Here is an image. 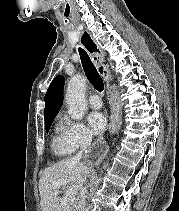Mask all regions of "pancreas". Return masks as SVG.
Returning <instances> with one entry per match:
<instances>
[{
	"instance_id": "pancreas-1",
	"label": "pancreas",
	"mask_w": 179,
	"mask_h": 211,
	"mask_svg": "<svg viewBox=\"0 0 179 211\" xmlns=\"http://www.w3.org/2000/svg\"><path fill=\"white\" fill-rule=\"evenodd\" d=\"M62 211H78V201L71 199H62Z\"/></svg>"
}]
</instances>
